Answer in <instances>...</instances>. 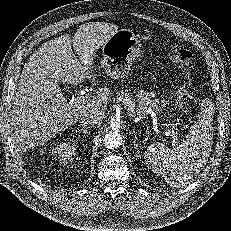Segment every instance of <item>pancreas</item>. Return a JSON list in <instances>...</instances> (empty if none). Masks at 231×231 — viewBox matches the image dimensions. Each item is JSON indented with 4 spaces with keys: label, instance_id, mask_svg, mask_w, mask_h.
I'll return each instance as SVG.
<instances>
[{
    "label": "pancreas",
    "instance_id": "cf45deb5",
    "mask_svg": "<svg viewBox=\"0 0 231 231\" xmlns=\"http://www.w3.org/2000/svg\"><path fill=\"white\" fill-rule=\"evenodd\" d=\"M134 97H131L129 93H125L123 90L117 92L116 101L122 102L127 111L131 116L135 117L136 115L146 114L147 108H152L155 112L161 110L160 106H165V102H160L159 99L152 98L151 94L148 92L139 91ZM138 101V103H137Z\"/></svg>",
    "mask_w": 231,
    "mask_h": 231
}]
</instances>
